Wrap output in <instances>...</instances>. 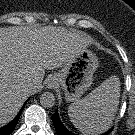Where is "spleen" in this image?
<instances>
[{
  "mask_svg": "<svg viewBox=\"0 0 135 135\" xmlns=\"http://www.w3.org/2000/svg\"><path fill=\"white\" fill-rule=\"evenodd\" d=\"M120 98V80L110 76L83 99L72 103L68 115L84 135H98L113 123Z\"/></svg>",
  "mask_w": 135,
  "mask_h": 135,
  "instance_id": "spleen-1",
  "label": "spleen"
}]
</instances>
